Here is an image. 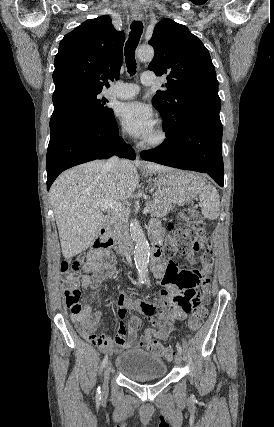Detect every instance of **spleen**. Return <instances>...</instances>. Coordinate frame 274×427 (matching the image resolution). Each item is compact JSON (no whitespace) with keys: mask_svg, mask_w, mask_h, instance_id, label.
Returning a JSON list of instances; mask_svg holds the SVG:
<instances>
[{"mask_svg":"<svg viewBox=\"0 0 274 427\" xmlns=\"http://www.w3.org/2000/svg\"><path fill=\"white\" fill-rule=\"evenodd\" d=\"M195 194H199L201 212L204 217L217 219L220 212V198L216 188L211 184H204L203 180H199Z\"/></svg>","mask_w":274,"mask_h":427,"instance_id":"1","label":"spleen"}]
</instances>
